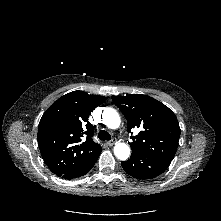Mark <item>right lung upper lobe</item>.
Segmentation results:
<instances>
[{
	"label": "right lung upper lobe",
	"instance_id": "right-lung-upper-lobe-1",
	"mask_svg": "<svg viewBox=\"0 0 221 221\" xmlns=\"http://www.w3.org/2000/svg\"><path fill=\"white\" fill-rule=\"evenodd\" d=\"M104 96L73 91L54 102L38 127V144L49 169L61 176L102 150L92 139L90 113L105 101Z\"/></svg>",
	"mask_w": 221,
	"mask_h": 221
}]
</instances>
